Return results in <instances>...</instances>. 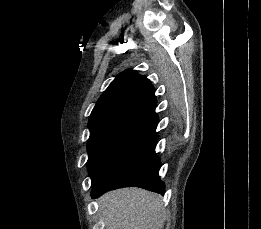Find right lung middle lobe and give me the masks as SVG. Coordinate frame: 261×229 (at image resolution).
I'll return each instance as SVG.
<instances>
[{
    "instance_id": "1",
    "label": "right lung middle lobe",
    "mask_w": 261,
    "mask_h": 229,
    "mask_svg": "<svg viewBox=\"0 0 261 229\" xmlns=\"http://www.w3.org/2000/svg\"><path fill=\"white\" fill-rule=\"evenodd\" d=\"M154 134L155 130H139L135 132L132 137L133 145L127 149L88 147V153L90 156L87 162V167L92 180V185H94L99 177L117 160L135 151Z\"/></svg>"
}]
</instances>
